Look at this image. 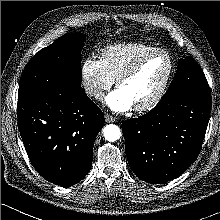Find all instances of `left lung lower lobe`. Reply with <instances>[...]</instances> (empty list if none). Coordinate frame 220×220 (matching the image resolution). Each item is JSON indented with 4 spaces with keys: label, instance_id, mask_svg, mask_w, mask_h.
<instances>
[{
    "label": "left lung lower lobe",
    "instance_id": "1",
    "mask_svg": "<svg viewBox=\"0 0 220 220\" xmlns=\"http://www.w3.org/2000/svg\"><path fill=\"white\" fill-rule=\"evenodd\" d=\"M210 110V90L196 91L124 121L126 155L136 176L160 184L181 175L200 152Z\"/></svg>",
    "mask_w": 220,
    "mask_h": 220
}]
</instances>
